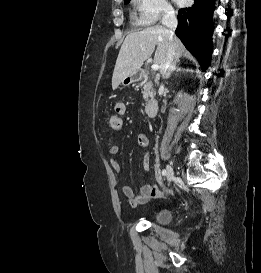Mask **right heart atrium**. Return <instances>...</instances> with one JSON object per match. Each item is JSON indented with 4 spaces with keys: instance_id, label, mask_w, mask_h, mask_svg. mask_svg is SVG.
I'll return each mask as SVG.
<instances>
[{
    "instance_id": "obj_1",
    "label": "right heart atrium",
    "mask_w": 261,
    "mask_h": 273,
    "mask_svg": "<svg viewBox=\"0 0 261 273\" xmlns=\"http://www.w3.org/2000/svg\"><path fill=\"white\" fill-rule=\"evenodd\" d=\"M137 20L142 25H153L174 15L173 8L167 0H134Z\"/></svg>"
}]
</instances>
